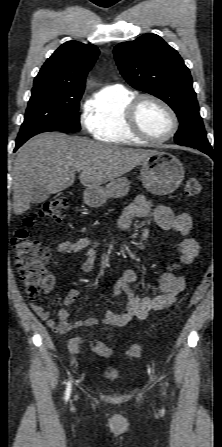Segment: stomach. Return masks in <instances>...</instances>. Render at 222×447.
Segmentation results:
<instances>
[{
    "mask_svg": "<svg viewBox=\"0 0 222 447\" xmlns=\"http://www.w3.org/2000/svg\"><path fill=\"white\" fill-rule=\"evenodd\" d=\"M141 181L144 188L155 195L175 191L184 179V167L172 154L155 151L141 163ZM130 182L121 177L106 187H88L83 193L84 202L90 207H100L109 198H121L128 194Z\"/></svg>",
    "mask_w": 222,
    "mask_h": 447,
    "instance_id": "stomach-1",
    "label": "stomach"
}]
</instances>
